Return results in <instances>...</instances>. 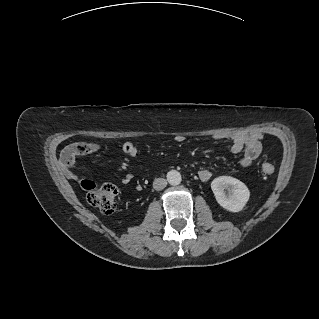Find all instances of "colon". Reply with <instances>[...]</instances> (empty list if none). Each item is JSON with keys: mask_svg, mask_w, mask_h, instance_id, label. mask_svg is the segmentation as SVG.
<instances>
[{"mask_svg": "<svg viewBox=\"0 0 319 319\" xmlns=\"http://www.w3.org/2000/svg\"><path fill=\"white\" fill-rule=\"evenodd\" d=\"M274 171L271 164H265L262 167L264 175H270ZM81 187L88 192V201L93 206L99 208L103 213L109 214L115 206L116 190L111 186H105L100 189L91 180H83Z\"/></svg>", "mask_w": 319, "mask_h": 319, "instance_id": "5ec220e1", "label": "colon"}]
</instances>
